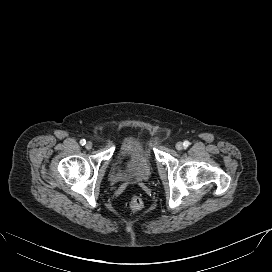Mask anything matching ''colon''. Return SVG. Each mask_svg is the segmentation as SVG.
<instances>
[{"mask_svg":"<svg viewBox=\"0 0 272 272\" xmlns=\"http://www.w3.org/2000/svg\"><path fill=\"white\" fill-rule=\"evenodd\" d=\"M143 201L140 197L138 196H133L131 197L129 201V207L133 211H139L143 208Z\"/></svg>","mask_w":272,"mask_h":272,"instance_id":"5ec220e1","label":"colon"}]
</instances>
